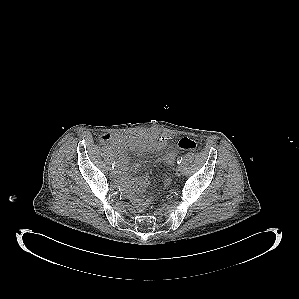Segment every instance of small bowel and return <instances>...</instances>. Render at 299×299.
<instances>
[{
  "instance_id": "obj_1",
  "label": "small bowel",
  "mask_w": 299,
  "mask_h": 299,
  "mask_svg": "<svg viewBox=\"0 0 299 299\" xmlns=\"http://www.w3.org/2000/svg\"><path fill=\"white\" fill-rule=\"evenodd\" d=\"M101 141L110 145L117 153L121 180L138 189L145 188L149 181L147 177H142L140 179L131 178V175L137 170L138 165L136 163H129L127 153L134 152L140 154L146 151H157L164 149L167 145L166 137L150 135L126 136L122 134L107 133L102 135ZM176 156V152L170 150L162 155L159 161L166 165H173ZM168 183L169 180L165 179L164 184L168 185Z\"/></svg>"
}]
</instances>
